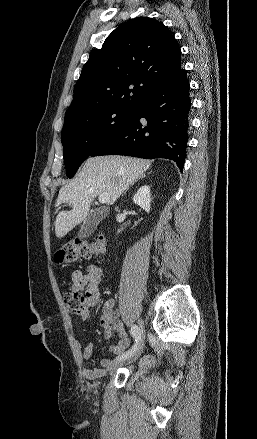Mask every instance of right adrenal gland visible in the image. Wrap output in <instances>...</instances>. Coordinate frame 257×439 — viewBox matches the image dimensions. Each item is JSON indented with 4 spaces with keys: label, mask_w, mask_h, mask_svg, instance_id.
<instances>
[{
    "label": "right adrenal gland",
    "mask_w": 257,
    "mask_h": 439,
    "mask_svg": "<svg viewBox=\"0 0 257 439\" xmlns=\"http://www.w3.org/2000/svg\"><path fill=\"white\" fill-rule=\"evenodd\" d=\"M145 177H146L145 175L140 176L137 180H135V181L131 184V186H133L137 181H139V180H141V179H143V178H145ZM128 189H129V187L125 190V192H127Z\"/></svg>",
    "instance_id": "obj_1"
}]
</instances>
